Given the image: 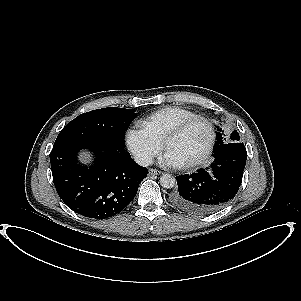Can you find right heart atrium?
I'll use <instances>...</instances> for the list:
<instances>
[{"label":"right heart atrium","instance_id":"1","mask_svg":"<svg viewBox=\"0 0 301 301\" xmlns=\"http://www.w3.org/2000/svg\"><path fill=\"white\" fill-rule=\"evenodd\" d=\"M126 145L138 162L150 164L160 153L162 144L144 128H129L126 132Z\"/></svg>","mask_w":301,"mask_h":301}]
</instances>
